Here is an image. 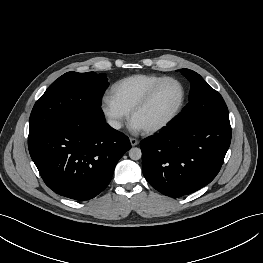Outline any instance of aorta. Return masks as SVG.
<instances>
[{
    "label": "aorta",
    "instance_id": "1",
    "mask_svg": "<svg viewBox=\"0 0 263 263\" xmlns=\"http://www.w3.org/2000/svg\"><path fill=\"white\" fill-rule=\"evenodd\" d=\"M142 156V152L139 148L134 147L129 150V157L132 160H139Z\"/></svg>",
    "mask_w": 263,
    "mask_h": 263
}]
</instances>
